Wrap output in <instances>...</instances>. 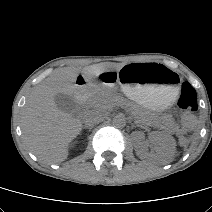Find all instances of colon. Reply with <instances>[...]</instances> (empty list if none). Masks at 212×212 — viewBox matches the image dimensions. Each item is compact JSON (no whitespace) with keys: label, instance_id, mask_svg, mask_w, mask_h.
Instances as JSON below:
<instances>
[{"label":"colon","instance_id":"1","mask_svg":"<svg viewBox=\"0 0 212 212\" xmlns=\"http://www.w3.org/2000/svg\"><path fill=\"white\" fill-rule=\"evenodd\" d=\"M178 106L183 111V123L188 127L194 125L196 121L195 112L198 108V98L194 87L187 82L181 86Z\"/></svg>","mask_w":212,"mask_h":212}]
</instances>
